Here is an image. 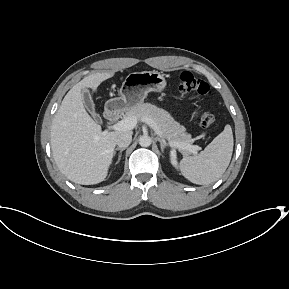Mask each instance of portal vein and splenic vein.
I'll return each instance as SVG.
<instances>
[{
  "label": "portal vein and splenic vein",
  "mask_w": 289,
  "mask_h": 289,
  "mask_svg": "<svg viewBox=\"0 0 289 289\" xmlns=\"http://www.w3.org/2000/svg\"><path fill=\"white\" fill-rule=\"evenodd\" d=\"M143 122H145L147 125H149L158 135H161L159 126L155 121H153L151 118H144ZM137 124V120L134 117H126L122 119L121 121L111 125L109 129L111 130H117V131H129L135 128ZM108 130H105L104 133H107ZM174 146L185 149L187 151H190L194 155L198 153V150H200V147L197 145H191V144H186V143H179L176 142L173 144Z\"/></svg>",
  "instance_id": "obj_1"
}]
</instances>
